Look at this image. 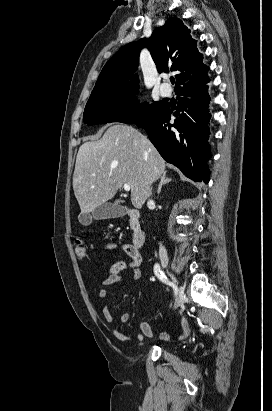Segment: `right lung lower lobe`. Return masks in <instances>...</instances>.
<instances>
[{"instance_id": "1", "label": "right lung lower lobe", "mask_w": 272, "mask_h": 411, "mask_svg": "<svg viewBox=\"0 0 272 411\" xmlns=\"http://www.w3.org/2000/svg\"><path fill=\"white\" fill-rule=\"evenodd\" d=\"M208 82L203 75L199 81L177 88L175 110L163 103L152 116L135 123L147 131L150 141L167 162L190 179L205 183L210 175L206 161L211 157L207 143L210 97L208 87L203 85ZM171 115L176 117L173 123L169 122Z\"/></svg>"}]
</instances>
